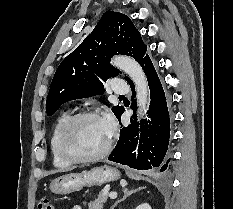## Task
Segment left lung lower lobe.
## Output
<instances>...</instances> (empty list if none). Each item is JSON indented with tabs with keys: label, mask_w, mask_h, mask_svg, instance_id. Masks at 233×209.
Segmentation results:
<instances>
[{
	"label": "left lung lower lobe",
	"mask_w": 233,
	"mask_h": 209,
	"mask_svg": "<svg viewBox=\"0 0 233 209\" xmlns=\"http://www.w3.org/2000/svg\"><path fill=\"white\" fill-rule=\"evenodd\" d=\"M140 65L144 69L150 88L149 117L140 122L136 121L135 115L130 118L131 124L121 128L120 138L108 159L138 170L159 167L160 172H164L168 170L170 162L166 156L170 137L168 102L149 55L143 58ZM128 83L134 97V84L131 80ZM131 107L136 108L134 100ZM123 112L124 108L117 116L119 121Z\"/></svg>",
	"instance_id": "1"
}]
</instances>
